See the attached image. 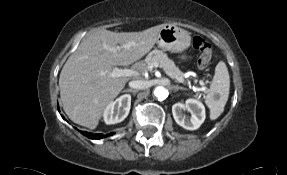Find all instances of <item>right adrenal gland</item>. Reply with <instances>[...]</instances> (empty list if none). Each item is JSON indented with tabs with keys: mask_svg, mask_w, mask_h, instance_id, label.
I'll use <instances>...</instances> for the list:
<instances>
[{
	"mask_svg": "<svg viewBox=\"0 0 287 175\" xmlns=\"http://www.w3.org/2000/svg\"><path fill=\"white\" fill-rule=\"evenodd\" d=\"M123 92H132L133 94H135L137 92V90L125 89V90H123Z\"/></svg>",
	"mask_w": 287,
	"mask_h": 175,
	"instance_id": "right-adrenal-gland-1",
	"label": "right adrenal gland"
}]
</instances>
